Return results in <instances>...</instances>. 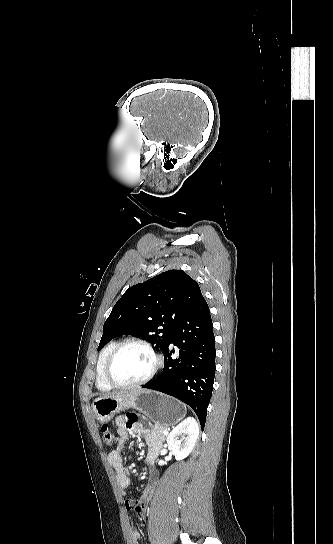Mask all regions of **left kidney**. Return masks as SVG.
Instances as JSON below:
<instances>
[{
    "instance_id": "5707ae66",
    "label": "left kidney",
    "mask_w": 333,
    "mask_h": 544,
    "mask_svg": "<svg viewBox=\"0 0 333 544\" xmlns=\"http://www.w3.org/2000/svg\"><path fill=\"white\" fill-rule=\"evenodd\" d=\"M199 435L197 421L188 417L167 436L168 449L176 460L186 458L192 451Z\"/></svg>"
}]
</instances>
